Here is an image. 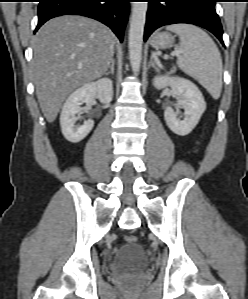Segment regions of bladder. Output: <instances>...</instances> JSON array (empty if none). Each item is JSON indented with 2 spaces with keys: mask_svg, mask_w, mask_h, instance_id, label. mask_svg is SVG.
Wrapping results in <instances>:
<instances>
[{
  "mask_svg": "<svg viewBox=\"0 0 248 299\" xmlns=\"http://www.w3.org/2000/svg\"><path fill=\"white\" fill-rule=\"evenodd\" d=\"M147 266V257L137 243L123 246L113 257L109 268L113 272L143 271Z\"/></svg>",
  "mask_w": 248,
  "mask_h": 299,
  "instance_id": "1",
  "label": "bladder"
}]
</instances>
